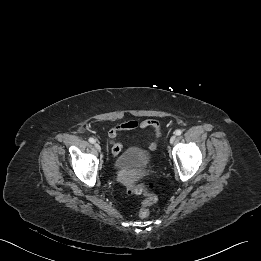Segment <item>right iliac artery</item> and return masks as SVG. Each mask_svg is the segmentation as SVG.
<instances>
[{"label":"right iliac artery","mask_w":261,"mask_h":261,"mask_svg":"<svg viewBox=\"0 0 261 261\" xmlns=\"http://www.w3.org/2000/svg\"><path fill=\"white\" fill-rule=\"evenodd\" d=\"M89 142L90 143H95V139L94 138H89Z\"/></svg>","instance_id":"1"}]
</instances>
